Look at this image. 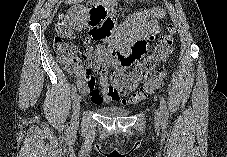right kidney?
Here are the masks:
<instances>
[{
  "label": "right kidney",
  "instance_id": "ca27d5eb",
  "mask_svg": "<svg viewBox=\"0 0 227 157\" xmlns=\"http://www.w3.org/2000/svg\"><path fill=\"white\" fill-rule=\"evenodd\" d=\"M84 11L85 10L80 6H73L71 9H69L67 17L71 24L74 26L77 25V21L80 20V14H82Z\"/></svg>",
  "mask_w": 227,
  "mask_h": 157
}]
</instances>
